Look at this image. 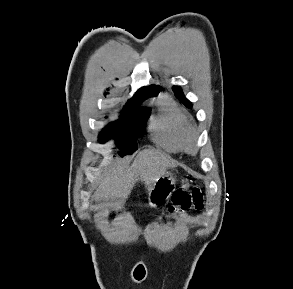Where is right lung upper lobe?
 Returning a JSON list of instances; mask_svg holds the SVG:
<instances>
[{"instance_id":"cb5924a9","label":"right lung upper lobe","mask_w":293,"mask_h":289,"mask_svg":"<svg viewBox=\"0 0 293 289\" xmlns=\"http://www.w3.org/2000/svg\"><path fill=\"white\" fill-rule=\"evenodd\" d=\"M160 88L159 86H154V85H150L148 87H144L141 88L134 96L132 99H130L128 101L129 103H134V102H139V101H143L144 99H146L147 97L151 96V95H155L159 92Z\"/></svg>"}]
</instances>
